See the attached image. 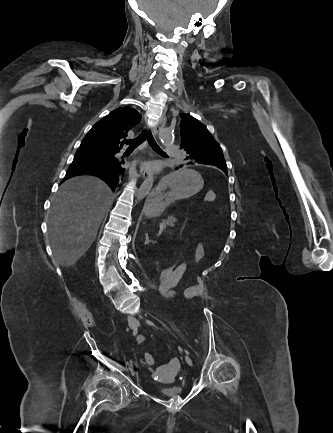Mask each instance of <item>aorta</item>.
Masks as SVG:
<instances>
[{
	"mask_svg": "<svg viewBox=\"0 0 333 433\" xmlns=\"http://www.w3.org/2000/svg\"><path fill=\"white\" fill-rule=\"evenodd\" d=\"M158 138L161 141V143H163L164 145L170 144L174 140L173 133L168 128H161L158 131ZM153 182H154V177L152 175L146 178V180L142 183V185L137 191L136 201H141L148 195V193L152 188Z\"/></svg>",
	"mask_w": 333,
	"mask_h": 433,
	"instance_id": "762f6f07",
	"label": "aorta"
}]
</instances>
